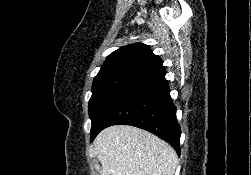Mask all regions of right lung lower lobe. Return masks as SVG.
I'll return each instance as SVG.
<instances>
[{
  "mask_svg": "<svg viewBox=\"0 0 251 175\" xmlns=\"http://www.w3.org/2000/svg\"><path fill=\"white\" fill-rule=\"evenodd\" d=\"M165 74L138 80L121 93L102 116L91 142L108 126L132 125L157 135L180 155L181 129Z\"/></svg>",
  "mask_w": 251,
  "mask_h": 175,
  "instance_id": "right-lung-lower-lobe-1",
  "label": "right lung lower lobe"
}]
</instances>
